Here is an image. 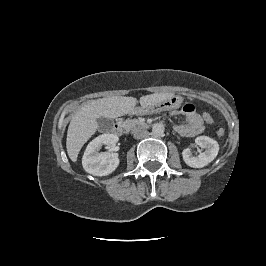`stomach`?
<instances>
[{
  "instance_id": "0dacf381",
  "label": "stomach",
  "mask_w": 266,
  "mask_h": 266,
  "mask_svg": "<svg viewBox=\"0 0 266 266\" xmlns=\"http://www.w3.org/2000/svg\"><path fill=\"white\" fill-rule=\"evenodd\" d=\"M175 97H171L168 98L162 102L153 104V105H149V106H142V111L144 113H159L165 110H168L171 106L166 105V103H170L172 105V99ZM178 99V101L180 100L179 98H175Z\"/></svg>"
}]
</instances>
